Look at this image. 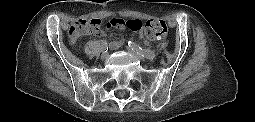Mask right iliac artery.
I'll list each match as a JSON object with an SVG mask.
<instances>
[{"mask_svg": "<svg viewBox=\"0 0 255 122\" xmlns=\"http://www.w3.org/2000/svg\"><path fill=\"white\" fill-rule=\"evenodd\" d=\"M101 49L103 51H107L108 50V43L106 41H102L101 43Z\"/></svg>", "mask_w": 255, "mask_h": 122, "instance_id": "82829eb1", "label": "right iliac artery"}]
</instances>
